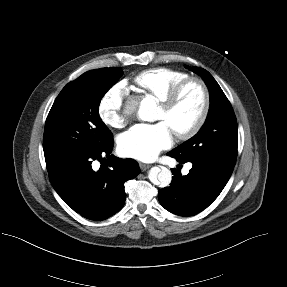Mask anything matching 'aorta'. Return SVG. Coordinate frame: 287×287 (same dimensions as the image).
Masks as SVG:
<instances>
[{"label": "aorta", "mask_w": 287, "mask_h": 287, "mask_svg": "<svg viewBox=\"0 0 287 287\" xmlns=\"http://www.w3.org/2000/svg\"><path fill=\"white\" fill-rule=\"evenodd\" d=\"M156 108V103L153 99L146 97L141 101L131 99L127 102L125 112L131 114L135 111L141 120L150 121L153 111ZM149 180L160 187H167L172 180V173L166 167H152L148 174Z\"/></svg>", "instance_id": "1"}]
</instances>
